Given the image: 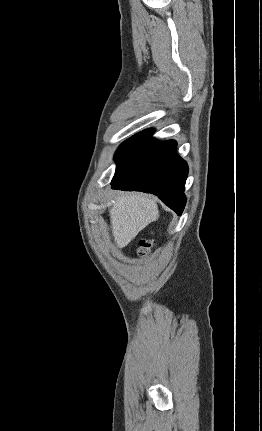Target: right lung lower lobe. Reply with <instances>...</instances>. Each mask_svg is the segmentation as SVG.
<instances>
[{"instance_id": "98d812e1", "label": "right lung lower lobe", "mask_w": 262, "mask_h": 431, "mask_svg": "<svg viewBox=\"0 0 262 431\" xmlns=\"http://www.w3.org/2000/svg\"><path fill=\"white\" fill-rule=\"evenodd\" d=\"M152 133V129L145 130L120 145L112 188L155 194L181 215L186 203L187 163L177 155L175 141L158 142Z\"/></svg>"}]
</instances>
